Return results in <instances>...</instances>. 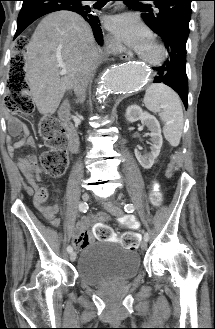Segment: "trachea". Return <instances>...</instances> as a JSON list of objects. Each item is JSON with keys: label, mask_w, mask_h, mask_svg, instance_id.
I'll list each match as a JSON object with an SVG mask.
<instances>
[{"label": "trachea", "mask_w": 215, "mask_h": 329, "mask_svg": "<svg viewBox=\"0 0 215 329\" xmlns=\"http://www.w3.org/2000/svg\"><path fill=\"white\" fill-rule=\"evenodd\" d=\"M121 1H123L126 5H136V6L148 7L145 4H139L138 2H136V0H121Z\"/></svg>", "instance_id": "3493384b"}]
</instances>
